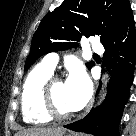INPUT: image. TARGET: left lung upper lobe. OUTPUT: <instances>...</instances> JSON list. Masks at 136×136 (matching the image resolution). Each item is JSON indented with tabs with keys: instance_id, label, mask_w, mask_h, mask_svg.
Here are the masks:
<instances>
[{
	"instance_id": "5c2ea615",
	"label": "left lung upper lobe",
	"mask_w": 136,
	"mask_h": 136,
	"mask_svg": "<svg viewBox=\"0 0 136 136\" xmlns=\"http://www.w3.org/2000/svg\"><path fill=\"white\" fill-rule=\"evenodd\" d=\"M131 11L128 0H64L39 24L24 70L46 53L78 46L83 36L99 35L103 43ZM93 65L86 64L88 69Z\"/></svg>"
}]
</instances>
